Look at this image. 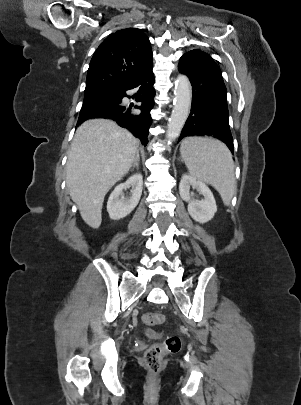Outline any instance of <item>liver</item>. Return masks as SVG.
Returning a JSON list of instances; mask_svg holds the SVG:
<instances>
[{
    "mask_svg": "<svg viewBox=\"0 0 301 405\" xmlns=\"http://www.w3.org/2000/svg\"><path fill=\"white\" fill-rule=\"evenodd\" d=\"M139 141L107 119L85 121L76 130L66 164V183L82 219L99 228L104 197L131 168Z\"/></svg>",
    "mask_w": 301,
    "mask_h": 405,
    "instance_id": "1",
    "label": "liver"
}]
</instances>
